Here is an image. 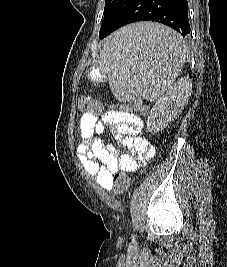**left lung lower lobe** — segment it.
I'll use <instances>...</instances> for the list:
<instances>
[{
    "label": "left lung lower lobe",
    "instance_id": "1",
    "mask_svg": "<svg viewBox=\"0 0 227 267\" xmlns=\"http://www.w3.org/2000/svg\"><path fill=\"white\" fill-rule=\"evenodd\" d=\"M137 21H155L165 24L183 37L190 34L187 0H128L122 9L101 26L99 38L103 39L120 27ZM147 49L166 47L170 42L143 35L139 42Z\"/></svg>",
    "mask_w": 227,
    "mask_h": 267
}]
</instances>
